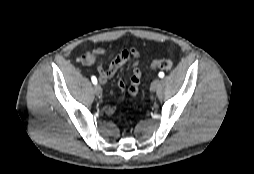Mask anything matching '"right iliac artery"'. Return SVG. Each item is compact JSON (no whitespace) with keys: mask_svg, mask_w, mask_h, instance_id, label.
Returning <instances> with one entry per match:
<instances>
[{"mask_svg":"<svg viewBox=\"0 0 254 174\" xmlns=\"http://www.w3.org/2000/svg\"><path fill=\"white\" fill-rule=\"evenodd\" d=\"M91 80H92V83H93L94 85L97 84V78H96L95 76H92V77H91Z\"/></svg>","mask_w":254,"mask_h":174,"instance_id":"obj_1","label":"right iliac artery"}]
</instances>
